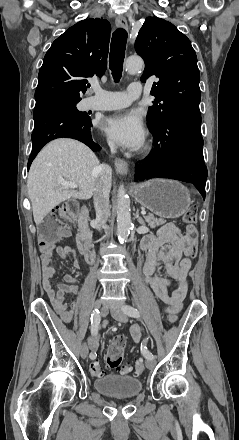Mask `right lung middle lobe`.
Here are the masks:
<instances>
[{
    "instance_id": "1",
    "label": "right lung middle lobe",
    "mask_w": 239,
    "mask_h": 440,
    "mask_svg": "<svg viewBox=\"0 0 239 440\" xmlns=\"http://www.w3.org/2000/svg\"><path fill=\"white\" fill-rule=\"evenodd\" d=\"M49 100L58 101L60 103H63L65 105L69 106L74 111V113L76 115H78V116H82V117L88 116V114L86 112H80L76 108V103H78L81 100L80 98H76V97H53V98H49V99H46V100H43V101H49Z\"/></svg>"
}]
</instances>
